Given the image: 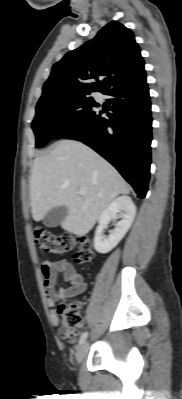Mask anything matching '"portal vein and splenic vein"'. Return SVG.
Here are the masks:
<instances>
[{"instance_id":"portal-vein-and-splenic-vein-1","label":"portal vein and splenic vein","mask_w":182,"mask_h":399,"mask_svg":"<svg viewBox=\"0 0 182 399\" xmlns=\"http://www.w3.org/2000/svg\"><path fill=\"white\" fill-rule=\"evenodd\" d=\"M79 193H80L81 195H85V194H86V189H85V188H80V189H79Z\"/></svg>"}]
</instances>
